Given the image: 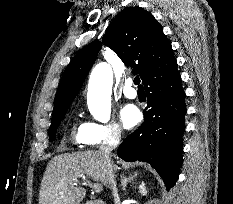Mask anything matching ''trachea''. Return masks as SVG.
<instances>
[{"label": "trachea", "instance_id": "trachea-1", "mask_svg": "<svg viewBox=\"0 0 233 204\" xmlns=\"http://www.w3.org/2000/svg\"><path fill=\"white\" fill-rule=\"evenodd\" d=\"M134 84L135 85H138V88L139 89H142L143 87L140 85V78H139V76H136L135 78H134Z\"/></svg>", "mask_w": 233, "mask_h": 204}]
</instances>
